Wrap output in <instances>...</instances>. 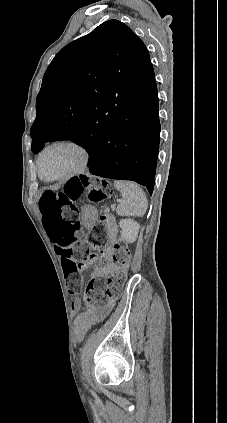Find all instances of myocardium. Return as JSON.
<instances>
[{
    "label": "myocardium",
    "instance_id": "1",
    "mask_svg": "<svg viewBox=\"0 0 227 423\" xmlns=\"http://www.w3.org/2000/svg\"><path fill=\"white\" fill-rule=\"evenodd\" d=\"M58 146H68L77 150L80 154V161L69 172L59 176L48 178L43 173L42 158L48 150ZM90 162H91V152L87 148V146L78 140L67 138V139H61V140L55 141L47 145L39 154V157L37 160V166H38V172L40 177L47 182H53L58 180H68V179L81 175L88 169Z\"/></svg>",
    "mask_w": 227,
    "mask_h": 423
}]
</instances>
